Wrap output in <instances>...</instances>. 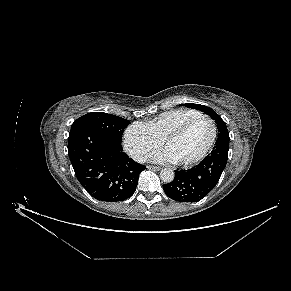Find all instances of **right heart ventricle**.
<instances>
[{"mask_svg": "<svg viewBox=\"0 0 291 291\" xmlns=\"http://www.w3.org/2000/svg\"><path fill=\"white\" fill-rule=\"evenodd\" d=\"M199 115L201 113L193 109H174L160 114L145 125L156 137L163 140L168 133L178 126Z\"/></svg>", "mask_w": 291, "mask_h": 291, "instance_id": "right-heart-ventricle-1", "label": "right heart ventricle"}]
</instances>
